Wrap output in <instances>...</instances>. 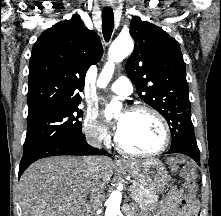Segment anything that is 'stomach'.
I'll list each match as a JSON object with an SVG mask.
<instances>
[{
  "mask_svg": "<svg viewBox=\"0 0 221 216\" xmlns=\"http://www.w3.org/2000/svg\"><path fill=\"white\" fill-rule=\"evenodd\" d=\"M121 170L155 193L163 192L170 179L166 168L158 159H150L141 163L131 162Z\"/></svg>",
  "mask_w": 221,
  "mask_h": 216,
  "instance_id": "0dacf381",
  "label": "stomach"
}]
</instances>
